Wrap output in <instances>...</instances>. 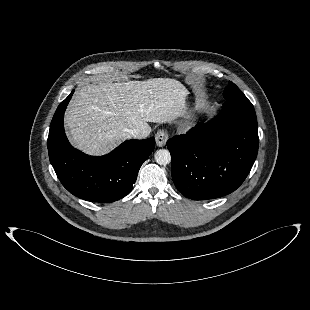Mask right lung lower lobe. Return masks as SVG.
Returning a JSON list of instances; mask_svg holds the SVG:
<instances>
[{
  "label": "right lung lower lobe",
  "mask_w": 310,
  "mask_h": 310,
  "mask_svg": "<svg viewBox=\"0 0 310 310\" xmlns=\"http://www.w3.org/2000/svg\"><path fill=\"white\" fill-rule=\"evenodd\" d=\"M60 103L48 136L50 162L63 186L73 195L91 202H113L126 196L138 171L155 147L153 137L127 140L107 155L88 156L68 142L63 126L72 94Z\"/></svg>",
  "instance_id": "obj_1"
}]
</instances>
